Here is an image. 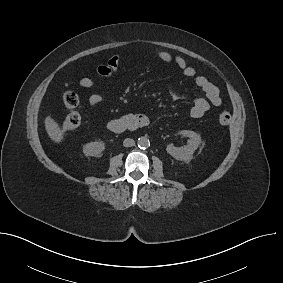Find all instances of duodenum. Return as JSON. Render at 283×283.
Segmentation results:
<instances>
[{
  "instance_id": "duodenum-1",
  "label": "duodenum",
  "mask_w": 283,
  "mask_h": 283,
  "mask_svg": "<svg viewBox=\"0 0 283 283\" xmlns=\"http://www.w3.org/2000/svg\"><path fill=\"white\" fill-rule=\"evenodd\" d=\"M149 125V120L141 114H128L120 118L112 119L108 122V129L114 133L134 131L145 128Z\"/></svg>"
}]
</instances>
